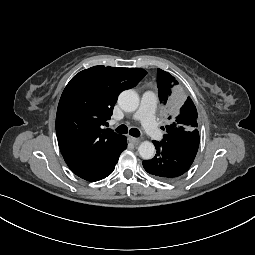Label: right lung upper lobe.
Instances as JSON below:
<instances>
[{
    "label": "right lung upper lobe",
    "instance_id": "1",
    "mask_svg": "<svg viewBox=\"0 0 255 255\" xmlns=\"http://www.w3.org/2000/svg\"><path fill=\"white\" fill-rule=\"evenodd\" d=\"M147 72L141 68L94 66L76 74L65 87L57 109L56 135L62 156L75 174L117 152L126 137L103 125L118 95L136 86Z\"/></svg>",
    "mask_w": 255,
    "mask_h": 255
}]
</instances>
